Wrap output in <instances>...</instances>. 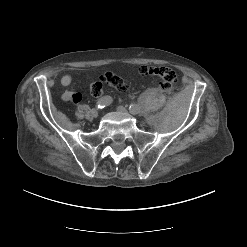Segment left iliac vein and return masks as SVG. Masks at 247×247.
Returning a JSON list of instances; mask_svg holds the SVG:
<instances>
[{
	"label": "left iliac vein",
	"instance_id": "left-iliac-vein-1",
	"mask_svg": "<svg viewBox=\"0 0 247 247\" xmlns=\"http://www.w3.org/2000/svg\"><path fill=\"white\" fill-rule=\"evenodd\" d=\"M117 110L119 111V112H121V113H128V110L125 108V107H123V106H118L117 107ZM131 113V112H130ZM132 114V113H131ZM139 114V113H138ZM133 115H137V114H133Z\"/></svg>",
	"mask_w": 247,
	"mask_h": 247
}]
</instances>
